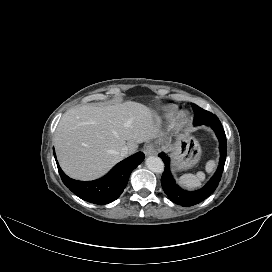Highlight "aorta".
<instances>
[{
	"instance_id": "1",
	"label": "aorta",
	"mask_w": 272,
	"mask_h": 272,
	"mask_svg": "<svg viewBox=\"0 0 272 272\" xmlns=\"http://www.w3.org/2000/svg\"><path fill=\"white\" fill-rule=\"evenodd\" d=\"M145 164L154 173H162L164 171V163L158 156L147 157Z\"/></svg>"
}]
</instances>
